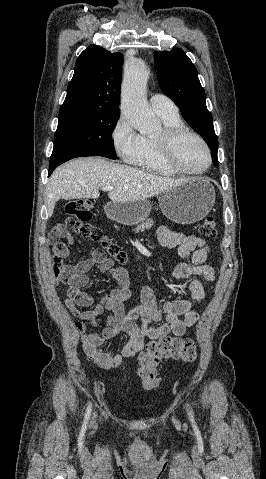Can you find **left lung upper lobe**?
Masks as SVG:
<instances>
[{"instance_id":"obj_1","label":"left lung upper lobe","mask_w":266,"mask_h":479,"mask_svg":"<svg viewBox=\"0 0 266 479\" xmlns=\"http://www.w3.org/2000/svg\"><path fill=\"white\" fill-rule=\"evenodd\" d=\"M154 64L161 90L179 106L186 122L207 142L212 161L218 166V139L195 66L182 49L157 51Z\"/></svg>"}]
</instances>
